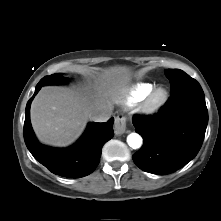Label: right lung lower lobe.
<instances>
[{"label":"right lung lower lobe","instance_id":"obj_1","mask_svg":"<svg viewBox=\"0 0 221 221\" xmlns=\"http://www.w3.org/2000/svg\"><path fill=\"white\" fill-rule=\"evenodd\" d=\"M42 86L40 83L37 84L34 95L26 105L23 133L27 148L38 162L54 174L67 178L89 175L100 161L102 146L114 136V119L111 118L106 123H89L85 133L71 147L57 149L41 145L31 126L30 105Z\"/></svg>","mask_w":221,"mask_h":221}]
</instances>
